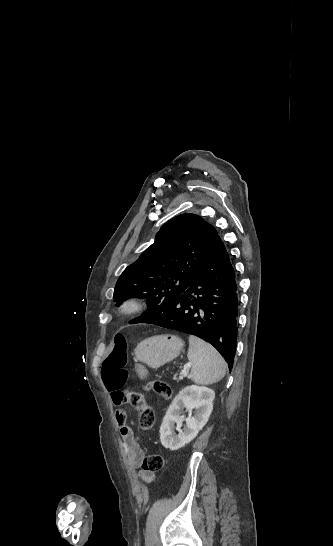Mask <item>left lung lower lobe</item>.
I'll list each match as a JSON object with an SVG mask.
<instances>
[{
	"label": "left lung lower lobe",
	"mask_w": 333,
	"mask_h": 546,
	"mask_svg": "<svg viewBox=\"0 0 333 546\" xmlns=\"http://www.w3.org/2000/svg\"><path fill=\"white\" fill-rule=\"evenodd\" d=\"M238 287L228 252L218 235L204 264L184 293L154 321L140 316L130 321L152 323L198 336L212 344L229 369L236 353Z\"/></svg>",
	"instance_id": "0a47b994"
}]
</instances>
